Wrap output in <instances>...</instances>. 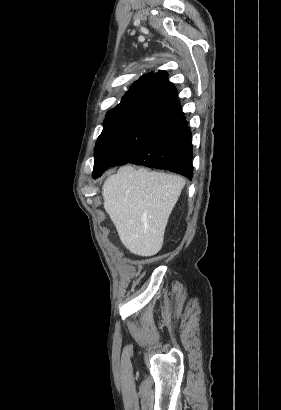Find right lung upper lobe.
Instances as JSON below:
<instances>
[{
  "label": "right lung upper lobe",
  "instance_id": "obj_1",
  "mask_svg": "<svg viewBox=\"0 0 281 410\" xmlns=\"http://www.w3.org/2000/svg\"><path fill=\"white\" fill-rule=\"evenodd\" d=\"M127 104L149 105L170 111L178 105L176 88L167 80L165 71L144 74L134 82L117 106Z\"/></svg>",
  "mask_w": 281,
  "mask_h": 410
}]
</instances>
